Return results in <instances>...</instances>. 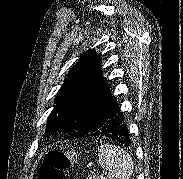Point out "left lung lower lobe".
<instances>
[{"label": "left lung lower lobe", "mask_w": 183, "mask_h": 179, "mask_svg": "<svg viewBox=\"0 0 183 179\" xmlns=\"http://www.w3.org/2000/svg\"><path fill=\"white\" fill-rule=\"evenodd\" d=\"M89 136H98L100 138L113 140L123 144L127 148L131 145L130 134L125 123V118L117 104L105 123Z\"/></svg>", "instance_id": "obj_1"}]
</instances>
